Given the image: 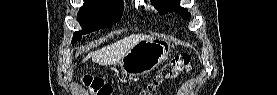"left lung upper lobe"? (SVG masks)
I'll return each mask as SVG.
<instances>
[{"mask_svg": "<svg viewBox=\"0 0 277 95\" xmlns=\"http://www.w3.org/2000/svg\"><path fill=\"white\" fill-rule=\"evenodd\" d=\"M151 2L161 14L176 12L184 19H190L191 14L180 6V0H152Z\"/></svg>", "mask_w": 277, "mask_h": 95, "instance_id": "left-lung-upper-lobe-1", "label": "left lung upper lobe"}]
</instances>
